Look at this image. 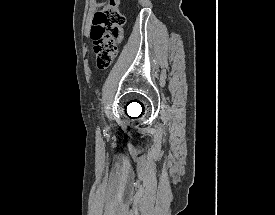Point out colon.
Here are the masks:
<instances>
[{
	"mask_svg": "<svg viewBox=\"0 0 275 215\" xmlns=\"http://www.w3.org/2000/svg\"><path fill=\"white\" fill-rule=\"evenodd\" d=\"M125 17L120 11V0H106L105 6L96 12L91 28V38L99 67L110 66L123 38Z\"/></svg>",
	"mask_w": 275,
	"mask_h": 215,
	"instance_id": "5ec220e1",
	"label": "colon"
}]
</instances>
